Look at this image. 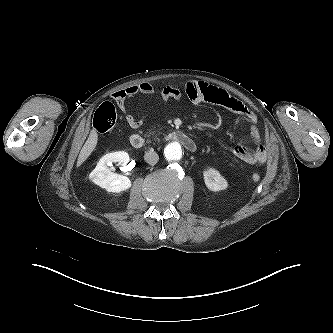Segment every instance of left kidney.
Returning a JSON list of instances; mask_svg holds the SVG:
<instances>
[{
    "label": "left kidney",
    "instance_id": "left-kidney-1",
    "mask_svg": "<svg viewBox=\"0 0 333 333\" xmlns=\"http://www.w3.org/2000/svg\"><path fill=\"white\" fill-rule=\"evenodd\" d=\"M206 187L214 192L225 190L228 186L226 179L218 170L210 168L203 172Z\"/></svg>",
    "mask_w": 333,
    "mask_h": 333
}]
</instances>
